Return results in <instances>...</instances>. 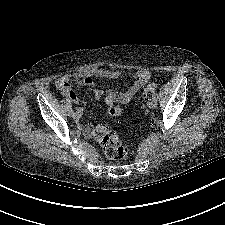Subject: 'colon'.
<instances>
[{
    "mask_svg": "<svg viewBox=\"0 0 225 225\" xmlns=\"http://www.w3.org/2000/svg\"><path fill=\"white\" fill-rule=\"evenodd\" d=\"M158 85L155 83L149 84L142 93V101L144 103L148 102L149 95L156 91ZM123 109L110 106L108 108V115L111 118H118L122 115ZM93 138L101 146L104 155L109 160L119 161L127 157L129 154V145L123 143L120 138L111 130V128L106 124H100L96 126L92 131Z\"/></svg>",
    "mask_w": 225,
    "mask_h": 225,
    "instance_id": "5ec220e1",
    "label": "colon"
}]
</instances>
